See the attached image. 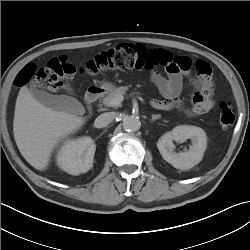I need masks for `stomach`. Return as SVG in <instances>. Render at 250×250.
Segmentation results:
<instances>
[{"mask_svg":"<svg viewBox=\"0 0 250 250\" xmlns=\"http://www.w3.org/2000/svg\"><path fill=\"white\" fill-rule=\"evenodd\" d=\"M114 87H115L114 84L111 83V82L104 81V82L102 83V88H103L104 90L109 91V90L114 89Z\"/></svg>","mask_w":250,"mask_h":250,"instance_id":"obj_1","label":"stomach"}]
</instances>
